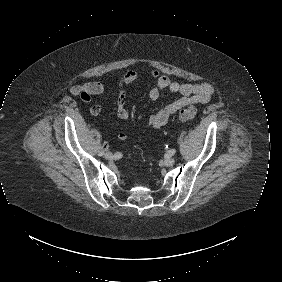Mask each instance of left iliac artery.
<instances>
[{"instance_id":"44dca946","label":"left iliac artery","mask_w":282,"mask_h":282,"mask_svg":"<svg viewBox=\"0 0 282 282\" xmlns=\"http://www.w3.org/2000/svg\"><path fill=\"white\" fill-rule=\"evenodd\" d=\"M176 153V150L175 149H171L170 151H169V154L172 156V155H174Z\"/></svg>"}]
</instances>
